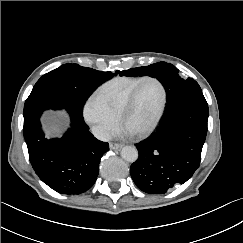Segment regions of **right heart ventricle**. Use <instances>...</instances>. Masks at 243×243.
Listing matches in <instances>:
<instances>
[{
  "mask_svg": "<svg viewBox=\"0 0 243 243\" xmlns=\"http://www.w3.org/2000/svg\"><path fill=\"white\" fill-rule=\"evenodd\" d=\"M145 77L122 76L111 79L94 93L95 98L116 117L133 88Z\"/></svg>",
  "mask_w": 243,
  "mask_h": 243,
  "instance_id": "right-heart-ventricle-1",
  "label": "right heart ventricle"
}]
</instances>
